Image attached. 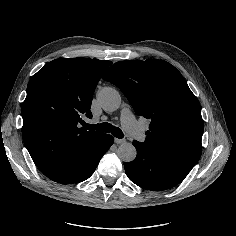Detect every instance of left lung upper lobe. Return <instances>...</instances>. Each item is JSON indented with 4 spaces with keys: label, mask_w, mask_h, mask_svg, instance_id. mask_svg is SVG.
Masks as SVG:
<instances>
[{
    "label": "left lung upper lobe",
    "mask_w": 236,
    "mask_h": 236,
    "mask_svg": "<svg viewBox=\"0 0 236 236\" xmlns=\"http://www.w3.org/2000/svg\"><path fill=\"white\" fill-rule=\"evenodd\" d=\"M102 78L120 88L136 114L150 121L142 143L192 169L201 156L204 122L181 73L163 60H130L115 63Z\"/></svg>",
    "instance_id": "1"
}]
</instances>
